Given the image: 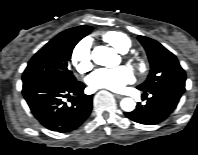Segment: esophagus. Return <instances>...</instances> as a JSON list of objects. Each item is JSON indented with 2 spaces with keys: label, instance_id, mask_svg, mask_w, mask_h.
<instances>
[{
  "label": "esophagus",
  "instance_id": "obj_1",
  "mask_svg": "<svg viewBox=\"0 0 198 155\" xmlns=\"http://www.w3.org/2000/svg\"><path fill=\"white\" fill-rule=\"evenodd\" d=\"M115 97H116L117 99H122L124 96H123V95H119V94H115Z\"/></svg>",
  "mask_w": 198,
  "mask_h": 155
}]
</instances>
